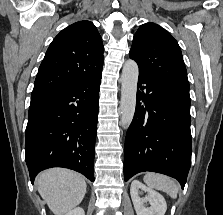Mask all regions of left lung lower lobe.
Instances as JSON below:
<instances>
[{
  "instance_id": "1",
  "label": "left lung lower lobe",
  "mask_w": 223,
  "mask_h": 215,
  "mask_svg": "<svg viewBox=\"0 0 223 215\" xmlns=\"http://www.w3.org/2000/svg\"><path fill=\"white\" fill-rule=\"evenodd\" d=\"M138 89L146 91L137 92L134 118L126 134L124 180L152 171L176 178L183 189L192 152L190 96L141 75Z\"/></svg>"
}]
</instances>
